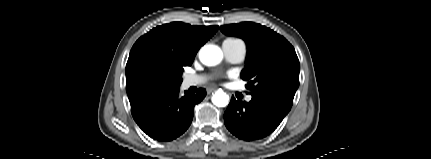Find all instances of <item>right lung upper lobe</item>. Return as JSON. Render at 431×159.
<instances>
[{"label":"right lung upper lobe","mask_w":431,"mask_h":159,"mask_svg":"<svg viewBox=\"0 0 431 159\" xmlns=\"http://www.w3.org/2000/svg\"><path fill=\"white\" fill-rule=\"evenodd\" d=\"M218 26H191L172 22L157 26L133 45L126 64V91L131 107L147 97L177 87L159 78L151 68L156 58L192 64L198 50Z\"/></svg>","instance_id":"cb5924a9"}]
</instances>
